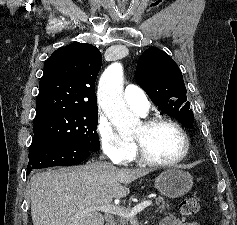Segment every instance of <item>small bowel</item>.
Returning a JSON list of instances; mask_svg holds the SVG:
<instances>
[{
  "instance_id": "obj_1",
  "label": "small bowel",
  "mask_w": 237,
  "mask_h": 225,
  "mask_svg": "<svg viewBox=\"0 0 237 225\" xmlns=\"http://www.w3.org/2000/svg\"><path fill=\"white\" fill-rule=\"evenodd\" d=\"M160 225H200V224L195 221H186L174 216H167L161 221Z\"/></svg>"
}]
</instances>
